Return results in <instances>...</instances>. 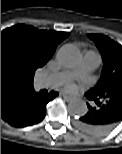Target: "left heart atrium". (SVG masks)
Masks as SVG:
<instances>
[{"label":"left heart atrium","instance_id":"obj_1","mask_svg":"<svg viewBox=\"0 0 122 154\" xmlns=\"http://www.w3.org/2000/svg\"><path fill=\"white\" fill-rule=\"evenodd\" d=\"M68 88H69V89H72V87H71V86H69Z\"/></svg>","mask_w":122,"mask_h":154}]
</instances>
